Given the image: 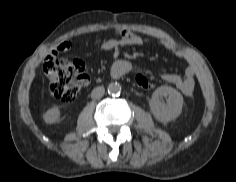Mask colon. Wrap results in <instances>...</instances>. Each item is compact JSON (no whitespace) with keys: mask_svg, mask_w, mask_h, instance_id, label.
Instances as JSON below:
<instances>
[{"mask_svg":"<svg viewBox=\"0 0 236 182\" xmlns=\"http://www.w3.org/2000/svg\"><path fill=\"white\" fill-rule=\"evenodd\" d=\"M44 72L52 96L62 102L73 101L81 87L88 82L86 65L82 60L68 61L59 58L55 52L46 58ZM135 83L145 90L153 87L150 79L141 73L135 75Z\"/></svg>","mask_w":236,"mask_h":182,"instance_id":"5ec220e1","label":"colon"}]
</instances>
